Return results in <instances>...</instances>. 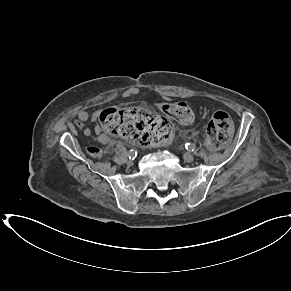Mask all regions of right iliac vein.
<instances>
[{
	"label": "right iliac vein",
	"mask_w": 291,
	"mask_h": 291,
	"mask_svg": "<svg viewBox=\"0 0 291 291\" xmlns=\"http://www.w3.org/2000/svg\"><path fill=\"white\" fill-rule=\"evenodd\" d=\"M133 164H134V162H133L132 160H129V161L127 162V165H128V166H133Z\"/></svg>",
	"instance_id": "63e3f726"
}]
</instances>
